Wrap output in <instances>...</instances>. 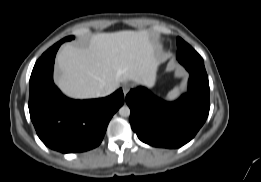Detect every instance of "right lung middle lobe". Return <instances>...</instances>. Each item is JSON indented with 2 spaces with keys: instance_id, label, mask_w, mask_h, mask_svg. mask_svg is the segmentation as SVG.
<instances>
[{
  "instance_id": "obj_1",
  "label": "right lung middle lobe",
  "mask_w": 261,
  "mask_h": 182,
  "mask_svg": "<svg viewBox=\"0 0 261 182\" xmlns=\"http://www.w3.org/2000/svg\"><path fill=\"white\" fill-rule=\"evenodd\" d=\"M72 39H74V36L65 37V38L62 39L61 41H62V42H65V41H70V40H72Z\"/></svg>"
}]
</instances>
